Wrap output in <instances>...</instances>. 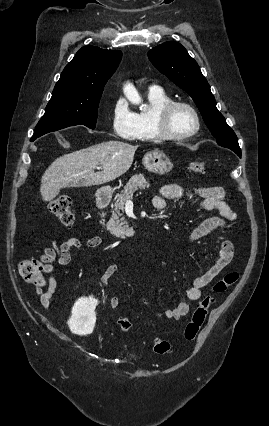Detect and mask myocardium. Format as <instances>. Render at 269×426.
<instances>
[{"label": "myocardium", "mask_w": 269, "mask_h": 426, "mask_svg": "<svg viewBox=\"0 0 269 426\" xmlns=\"http://www.w3.org/2000/svg\"><path fill=\"white\" fill-rule=\"evenodd\" d=\"M178 107H183L188 109L194 119L195 127L189 132L186 133H175L172 131L170 126V119L174 110ZM154 127L157 131V134L160 139L163 140H185L194 135H196L201 128V119L197 110L189 103L180 100H171L170 102L163 105L154 116Z\"/></svg>", "instance_id": "1"}]
</instances>
